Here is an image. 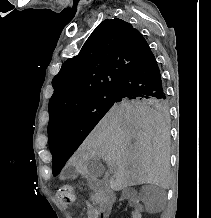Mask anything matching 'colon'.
<instances>
[{
    "mask_svg": "<svg viewBox=\"0 0 211 218\" xmlns=\"http://www.w3.org/2000/svg\"><path fill=\"white\" fill-rule=\"evenodd\" d=\"M57 199L64 204H71L75 200L72 187L68 184L62 185L57 191Z\"/></svg>",
    "mask_w": 211,
    "mask_h": 218,
    "instance_id": "colon-1",
    "label": "colon"
}]
</instances>
